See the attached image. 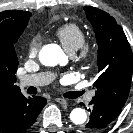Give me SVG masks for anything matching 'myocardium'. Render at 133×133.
<instances>
[{"label": "myocardium", "instance_id": "1", "mask_svg": "<svg viewBox=\"0 0 133 133\" xmlns=\"http://www.w3.org/2000/svg\"><path fill=\"white\" fill-rule=\"evenodd\" d=\"M94 55L93 48L88 44H83L76 52L75 59L79 63H88Z\"/></svg>", "mask_w": 133, "mask_h": 133}]
</instances>
